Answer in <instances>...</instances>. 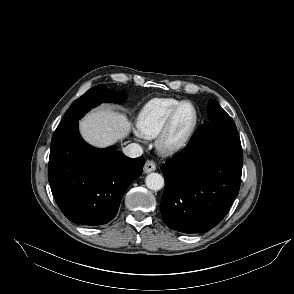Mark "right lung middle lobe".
Segmentation results:
<instances>
[{
	"instance_id": "obj_1",
	"label": "right lung middle lobe",
	"mask_w": 294,
	"mask_h": 294,
	"mask_svg": "<svg viewBox=\"0 0 294 294\" xmlns=\"http://www.w3.org/2000/svg\"><path fill=\"white\" fill-rule=\"evenodd\" d=\"M120 99L121 97L118 95L117 100L120 101ZM96 105L98 104L93 103L90 95L86 92L69 107L59 126L78 121L86 112Z\"/></svg>"
}]
</instances>
